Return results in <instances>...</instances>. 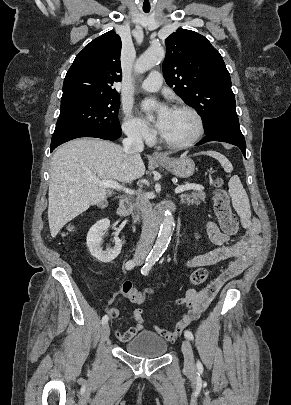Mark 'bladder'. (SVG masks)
<instances>
[{"mask_svg": "<svg viewBox=\"0 0 291 405\" xmlns=\"http://www.w3.org/2000/svg\"><path fill=\"white\" fill-rule=\"evenodd\" d=\"M168 344L161 336L151 331H142L130 341L124 350L131 355L143 358H158L165 354Z\"/></svg>", "mask_w": 291, "mask_h": 405, "instance_id": "31cf9c89", "label": "bladder"}]
</instances>
